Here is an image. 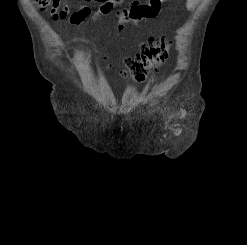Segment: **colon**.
Instances as JSON below:
<instances>
[{"label":"colon","mask_w":247,"mask_h":245,"mask_svg":"<svg viewBox=\"0 0 247 245\" xmlns=\"http://www.w3.org/2000/svg\"><path fill=\"white\" fill-rule=\"evenodd\" d=\"M36 5L44 9L52 0H34ZM99 7L93 16L107 15L121 3L122 0H95ZM170 42L166 38H150L140 45V53L136 57L125 59L126 69L122 71L137 82H144L151 73L156 72L169 56Z\"/></svg>","instance_id":"colon-1"}]
</instances>
